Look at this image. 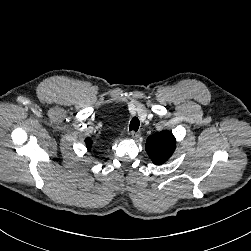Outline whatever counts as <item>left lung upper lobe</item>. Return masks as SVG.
I'll return each instance as SVG.
<instances>
[{"label":"left lung upper lobe","instance_id":"obj_1","mask_svg":"<svg viewBox=\"0 0 251 251\" xmlns=\"http://www.w3.org/2000/svg\"><path fill=\"white\" fill-rule=\"evenodd\" d=\"M176 140L168 130L154 133L146 140L145 150L156 165L165 163L173 154Z\"/></svg>","mask_w":251,"mask_h":251}]
</instances>
